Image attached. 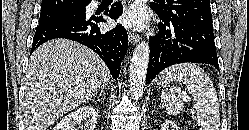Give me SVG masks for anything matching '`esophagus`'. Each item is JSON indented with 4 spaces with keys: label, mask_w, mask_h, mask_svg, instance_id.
<instances>
[{
    "label": "esophagus",
    "mask_w": 249,
    "mask_h": 130,
    "mask_svg": "<svg viewBox=\"0 0 249 130\" xmlns=\"http://www.w3.org/2000/svg\"><path fill=\"white\" fill-rule=\"evenodd\" d=\"M128 39H129V42H130L131 44L135 45L136 43L139 42V39H140V38H139V35H138V34L132 32V31H129V32H128Z\"/></svg>",
    "instance_id": "obj_1"
}]
</instances>
